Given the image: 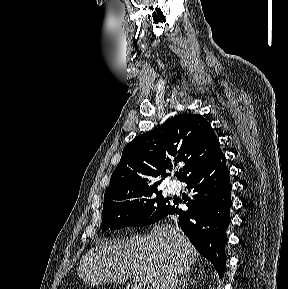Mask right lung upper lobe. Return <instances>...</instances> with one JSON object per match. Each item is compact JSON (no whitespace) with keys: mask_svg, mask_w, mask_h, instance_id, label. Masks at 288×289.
Listing matches in <instances>:
<instances>
[{"mask_svg":"<svg viewBox=\"0 0 288 289\" xmlns=\"http://www.w3.org/2000/svg\"><path fill=\"white\" fill-rule=\"evenodd\" d=\"M221 152L210 124L200 115L170 118L161 127L132 140L123 150L105 195L158 187L179 161L185 166L176 173L184 181Z\"/></svg>","mask_w":288,"mask_h":289,"instance_id":"right-lung-upper-lobe-1","label":"right lung upper lobe"}]
</instances>
